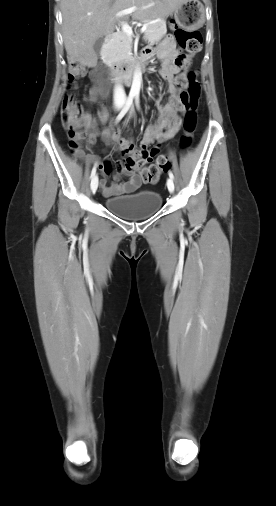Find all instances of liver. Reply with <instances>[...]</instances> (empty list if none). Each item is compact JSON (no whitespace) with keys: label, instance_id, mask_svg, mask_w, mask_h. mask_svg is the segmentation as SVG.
Returning a JSON list of instances; mask_svg holds the SVG:
<instances>
[{"label":"liver","instance_id":"1","mask_svg":"<svg viewBox=\"0 0 276 506\" xmlns=\"http://www.w3.org/2000/svg\"><path fill=\"white\" fill-rule=\"evenodd\" d=\"M186 0H62L63 39L68 57L85 66L94 67L97 55L95 42L114 31L129 14H116L137 7L133 20L150 21L172 14Z\"/></svg>","mask_w":276,"mask_h":506}]
</instances>
